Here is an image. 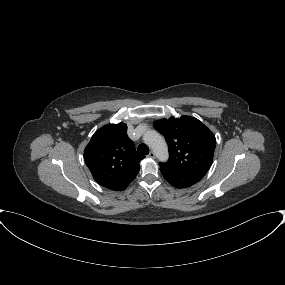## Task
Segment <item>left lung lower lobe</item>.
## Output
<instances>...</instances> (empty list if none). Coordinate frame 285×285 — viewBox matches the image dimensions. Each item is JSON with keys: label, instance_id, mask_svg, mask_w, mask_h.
<instances>
[{"label": "left lung lower lobe", "instance_id": "0a47b994", "mask_svg": "<svg viewBox=\"0 0 285 285\" xmlns=\"http://www.w3.org/2000/svg\"><path fill=\"white\" fill-rule=\"evenodd\" d=\"M160 171L162 175L164 176V178L166 179V181L176 188L190 187L193 184L200 181L202 177L204 176L201 174L185 175V174L175 173L163 167H160Z\"/></svg>", "mask_w": 285, "mask_h": 285}]
</instances>
